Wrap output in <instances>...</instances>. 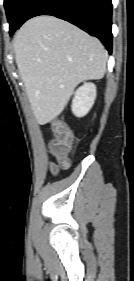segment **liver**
Returning <instances> with one entry per match:
<instances>
[{"instance_id":"liver-1","label":"liver","mask_w":134,"mask_h":281,"mask_svg":"<svg viewBox=\"0 0 134 281\" xmlns=\"http://www.w3.org/2000/svg\"><path fill=\"white\" fill-rule=\"evenodd\" d=\"M14 51L40 125L61 114L79 83L101 79L106 72L108 53L102 43L53 16L24 23L14 38Z\"/></svg>"}]
</instances>
